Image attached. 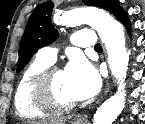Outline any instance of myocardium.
I'll list each match as a JSON object with an SVG mask.
<instances>
[{
  "label": "myocardium",
  "mask_w": 145,
  "mask_h": 124,
  "mask_svg": "<svg viewBox=\"0 0 145 124\" xmlns=\"http://www.w3.org/2000/svg\"><path fill=\"white\" fill-rule=\"evenodd\" d=\"M60 70L59 67L50 65L38 75L33 86L32 94L35 104L49 112H68L78 105L76 101L69 103L61 102L55 96L52 81L54 74Z\"/></svg>",
  "instance_id": "1"
}]
</instances>
